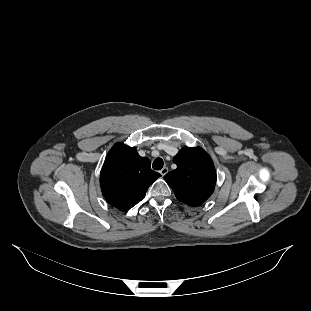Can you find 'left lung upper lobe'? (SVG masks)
<instances>
[{
    "label": "left lung upper lobe",
    "instance_id": "1",
    "mask_svg": "<svg viewBox=\"0 0 311 311\" xmlns=\"http://www.w3.org/2000/svg\"><path fill=\"white\" fill-rule=\"evenodd\" d=\"M177 168L164 176L176 198L190 206H198L213 193L216 171L210 156L200 147L183 148L174 157Z\"/></svg>",
    "mask_w": 311,
    "mask_h": 311
}]
</instances>
